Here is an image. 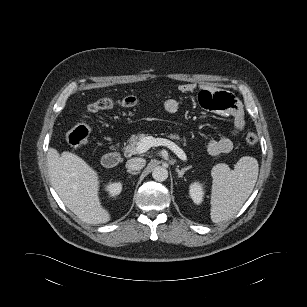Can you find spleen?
<instances>
[{
    "label": "spleen",
    "mask_w": 307,
    "mask_h": 307,
    "mask_svg": "<svg viewBox=\"0 0 307 307\" xmlns=\"http://www.w3.org/2000/svg\"><path fill=\"white\" fill-rule=\"evenodd\" d=\"M258 172V161L250 156L240 158L234 170L226 164H218L212 169V222L227 220L239 211L253 191Z\"/></svg>",
    "instance_id": "1"
}]
</instances>
